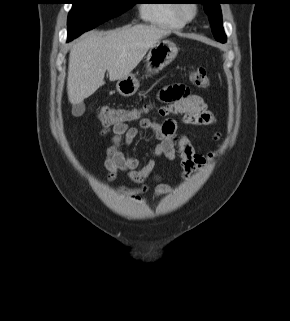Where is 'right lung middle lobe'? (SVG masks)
I'll return each mask as SVG.
<instances>
[{
    "label": "right lung middle lobe",
    "mask_w": 290,
    "mask_h": 321,
    "mask_svg": "<svg viewBox=\"0 0 290 321\" xmlns=\"http://www.w3.org/2000/svg\"><path fill=\"white\" fill-rule=\"evenodd\" d=\"M73 7L68 15V42L85 31L119 16L134 4V0H71Z\"/></svg>",
    "instance_id": "right-lung-middle-lobe-1"
}]
</instances>
